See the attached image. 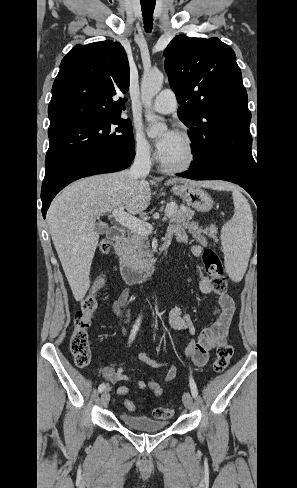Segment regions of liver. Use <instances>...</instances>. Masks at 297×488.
<instances>
[{"label": "liver", "instance_id": "obj_1", "mask_svg": "<svg viewBox=\"0 0 297 488\" xmlns=\"http://www.w3.org/2000/svg\"><path fill=\"white\" fill-rule=\"evenodd\" d=\"M177 182L218 187L186 179L166 183ZM150 184L155 181L134 179L129 170L95 175L66 187L52 202L47 212L49 231L76 301H81L90 287V268L99 241L96 219L120 206L129 214H141L150 205Z\"/></svg>", "mask_w": 297, "mask_h": 488}]
</instances>
